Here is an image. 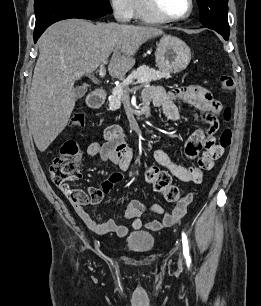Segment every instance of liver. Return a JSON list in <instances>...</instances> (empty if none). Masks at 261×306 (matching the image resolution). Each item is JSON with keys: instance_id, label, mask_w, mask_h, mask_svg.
I'll return each mask as SVG.
<instances>
[{"instance_id": "6515ba94", "label": "liver", "mask_w": 261, "mask_h": 306, "mask_svg": "<svg viewBox=\"0 0 261 306\" xmlns=\"http://www.w3.org/2000/svg\"><path fill=\"white\" fill-rule=\"evenodd\" d=\"M158 28L67 19L50 26L38 41L39 57L29 93L28 128L44 152L66 127L75 107L74 83L108 63L111 77L122 79L134 55Z\"/></svg>"}]
</instances>
